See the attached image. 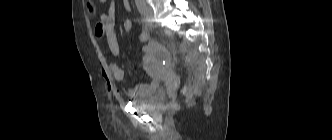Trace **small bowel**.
<instances>
[{
    "instance_id": "obj_1",
    "label": "small bowel",
    "mask_w": 332,
    "mask_h": 140,
    "mask_svg": "<svg viewBox=\"0 0 332 140\" xmlns=\"http://www.w3.org/2000/svg\"><path fill=\"white\" fill-rule=\"evenodd\" d=\"M107 4V8L98 15V22L95 26L94 32L98 39L104 42L107 49L113 57H117L120 53V46L115 32V3L113 0H100ZM124 7L127 11L131 10L129 0H123ZM148 40V34L142 32L138 36V41L145 43ZM153 44H146L143 47V52L148 53L153 49ZM103 75L108 84L109 90H112L114 82H122L125 78L124 70L117 63H110L103 69ZM147 84H140L135 87L128 88L126 94L130 98H135L142 95L146 90Z\"/></svg>"
}]
</instances>
